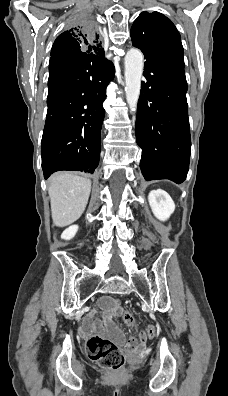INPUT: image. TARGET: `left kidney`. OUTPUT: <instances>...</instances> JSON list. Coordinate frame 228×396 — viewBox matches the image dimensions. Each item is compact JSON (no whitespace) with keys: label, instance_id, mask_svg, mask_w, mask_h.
<instances>
[{"label":"left kidney","instance_id":"obj_1","mask_svg":"<svg viewBox=\"0 0 228 396\" xmlns=\"http://www.w3.org/2000/svg\"><path fill=\"white\" fill-rule=\"evenodd\" d=\"M148 201L154 216L161 221H166L175 210L172 198L164 190H152Z\"/></svg>","mask_w":228,"mask_h":396}]
</instances>
